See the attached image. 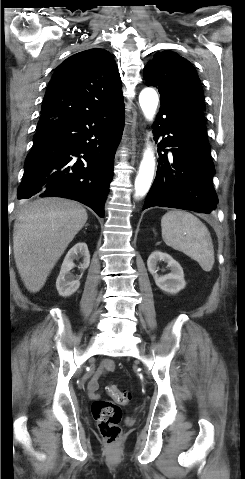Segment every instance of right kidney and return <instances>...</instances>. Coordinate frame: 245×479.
Wrapping results in <instances>:
<instances>
[{
	"label": "right kidney",
	"mask_w": 245,
	"mask_h": 479,
	"mask_svg": "<svg viewBox=\"0 0 245 479\" xmlns=\"http://www.w3.org/2000/svg\"><path fill=\"white\" fill-rule=\"evenodd\" d=\"M79 257L83 258L79 268L84 271L90 264V254L86 243L79 242L75 244L64 258L59 276L56 280L57 291L62 297L71 296L80 286V277H76L71 273V270L75 267L73 261Z\"/></svg>",
	"instance_id": "1"
}]
</instances>
